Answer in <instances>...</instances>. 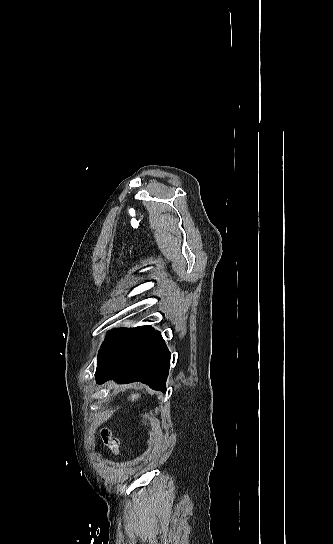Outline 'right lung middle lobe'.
Here are the masks:
<instances>
[{
  "label": "right lung middle lobe",
  "instance_id": "dd1d6c3e",
  "mask_svg": "<svg viewBox=\"0 0 333 544\" xmlns=\"http://www.w3.org/2000/svg\"><path fill=\"white\" fill-rule=\"evenodd\" d=\"M150 328V326H139L132 329L120 328L110 330L99 350L97 367L101 366L114 354L137 340Z\"/></svg>",
  "mask_w": 333,
  "mask_h": 544
}]
</instances>
